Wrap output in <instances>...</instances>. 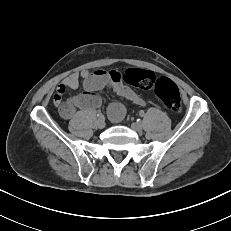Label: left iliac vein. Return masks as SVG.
<instances>
[{"label":"left iliac vein","instance_id":"obj_1","mask_svg":"<svg viewBox=\"0 0 231 231\" xmlns=\"http://www.w3.org/2000/svg\"><path fill=\"white\" fill-rule=\"evenodd\" d=\"M131 129L136 131V132H141L143 127H142V125L140 123L134 122V123L131 124Z\"/></svg>","mask_w":231,"mask_h":231}]
</instances>
